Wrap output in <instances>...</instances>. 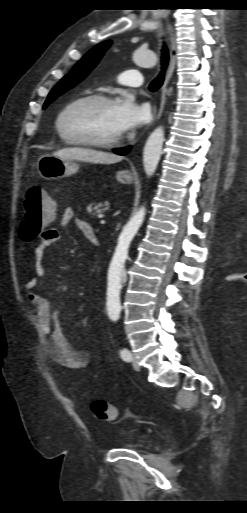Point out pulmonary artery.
<instances>
[{
    "instance_id": "e3ab8cb5",
    "label": "pulmonary artery",
    "mask_w": 247,
    "mask_h": 513,
    "mask_svg": "<svg viewBox=\"0 0 247 513\" xmlns=\"http://www.w3.org/2000/svg\"><path fill=\"white\" fill-rule=\"evenodd\" d=\"M119 81L125 85L141 86L143 83L141 73L136 69L125 70L119 75Z\"/></svg>"
}]
</instances>
